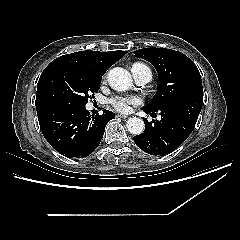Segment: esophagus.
I'll use <instances>...</instances> for the list:
<instances>
[{
	"label": "esophagus",
	"mask_w": 240,
	"mask_h": 240,
	"mask_svg": "<svg viewBox=\"0 0 240 240\" xmlns=\"http://www.w3.org/2000/svg\"><path fill=\"white\" fill-rule=\"evenodd\" d=\"M116 116L123 119L128 118V115H123V114H117Z\"/></svg>",
	"instance_id": "esophagus-1"
}]
</instances>
